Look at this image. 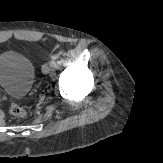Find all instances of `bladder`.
<instances>
[{"mask_svg":"<svg viewBox=\"0 0 163 163\" xmlns=\"http://www.w3.org/2000/svg\"><path fill=\"white\" fill-rule=\"evenodd\" d=\"M35 66L16 51L0 54V89L9 96L22 98L31 91Z\"/></svg>","mask_w":163,"mask_h":163,"instance_id":"obj_1","label":"bladder"}]
</instances>
